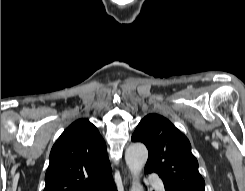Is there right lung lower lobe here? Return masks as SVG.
Instances as JSON below:
<instances>
[{"label": "right lung lower lobe", "mask_w": 245, "mask_h": 191, "mask_svg": "<svg viewBox=\"0 0 245 191\" xmlns=\"http://www.w3.org/2000/svg\"><path fill=\"white\" fill-rule=\"evenodd\" d=\"M86 191H117L113 179H109L103 183L91 186Z\"/></svg>", "instance_id": "obj_1"}]
</instances>
